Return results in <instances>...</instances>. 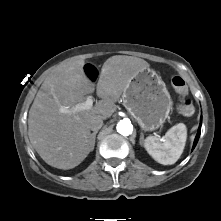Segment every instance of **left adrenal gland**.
Instances as JSON below:
<instances>
[{"instance_id":"1","label":"left adrenal gland","mask_w":221,"mask_h":221,"mask_svg":"<svg viewBox=\"0 0 221 221\" xmlns=\"http://www.w3.org/2000/svg\"><path fill=\"white\" fill-rule=\"evenodd\" d=\"M143 139H144V134L141 133V135H140V145H142V143H143Z\"/></svg>"}]
</instances>
